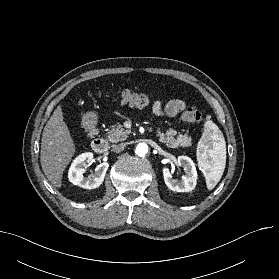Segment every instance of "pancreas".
<instances>
[{
    "label": "pancreas",
    "mask_w": 279,
    "mask_h": 279,
    "mask_svg": "<svg viewBox=\"0 0 279 279\" xmlns=\"http://www.w3.org/2000/svg\"><path fill=\"white\" fill-rule=\"evenodd\" d=\"M129 134V130H125L120 123L113 125L108 132V140L112 143H117L120 141H124L127 139ZM177 131L173 128H170L165 133H163L160 128L157 129V136L159 137V141L165 143L167 147L176 148L179 146H190L191 145V138L188 137L187 134L179 135L175 138Z\"/></svg>",
    "instance_id": "obj_1"
}]
</instances>
